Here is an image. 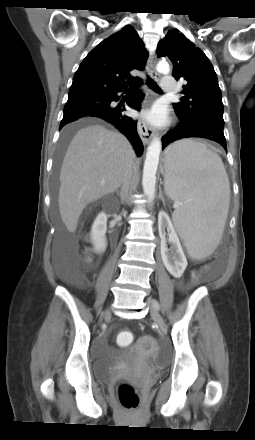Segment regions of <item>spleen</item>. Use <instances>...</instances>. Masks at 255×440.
Here are the masks:
<instances>
[{"label": "spleen", "mask_w": 255, "mask_h": 440, "mask_svg": "<svg viewBox=\"0 0 255 440\" xmlns=\"http://www.w3.org/2000/svg\"><path fill=\"white\" fill-rule=\"evenodd\" d=\"M165 165L166 194L181 206L173 223L194 259L213 253L219 244L230 204V184L222 159L192 140L172 145Z\"/></svg>", "instance_id": "3e777b00"}]
</instances>
